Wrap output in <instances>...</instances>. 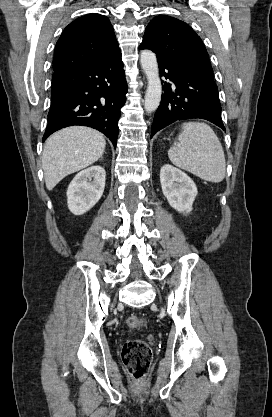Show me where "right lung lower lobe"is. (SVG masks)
I'll list each match as a JSON object with an SVG mask.
<instances>
[{
    "instance_id": "right-lung-lower-lobe-1",
    "label": "right lung lower lobe",
    "mask_w": 272,
    "mask_h": 417,
    "mask_svg": "<svg viewBox=\"0 0 272 417\" xmlns=\"http://www.w3.org/2000/svg\"><path fill=\"white\" fill-rule=\"evenodd\" d=\"M126 93L119 47L94 65L54 71L43 142L61 128L84 125L104 133L116 147Z\"/></svg>"
}]
</instances>
